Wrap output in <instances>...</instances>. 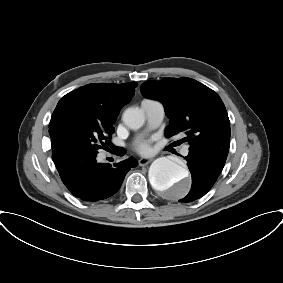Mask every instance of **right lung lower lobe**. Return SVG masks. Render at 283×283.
Returning a JSON list of instances; mask_svg holds the SVG:
<instances>
[{"label":"right lung lower lobe","mask_w":283,"mask_h":283,"mask_svg":"<svg viewBox=\"0 0 283 283\" xmlns=\"http://www.w3.org/2000/svg\"><path fill=\"white\" fill-rule=\"evenodd\" d=\"M97 154L85 151L61 165L55 164L66 187L75 197L84 201L95 202L114 195L126 173L137 166V161L132 157L113 166L99 163Z\"/></svg>","instance_id":"obj_1"}]
</instances>
